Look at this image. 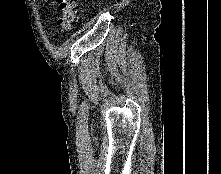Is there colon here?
<instances>
[{
    "instance_id": "1",
    "label": "colon",
    "mask_w": 221,
    "mask_h": 174,
    "mask_svg": "<svg viewBox=\"0 0 221 174\" xmlns=\"http://www.w3.org/2000/svg\"><path fill=\"white\" fill-rule=\"evenodd\" d=\"M62 15L58 19V26L64 30H69L77 21L78 3L75 0H57Z\"/></svg>"
}]
</instances>
